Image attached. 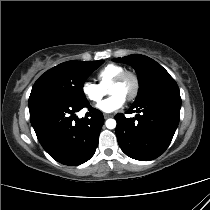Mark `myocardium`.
Listing matches in <instances>:
<instances>
[{"mask_svg":"<svg viewBox=\"0 0 210 210\" xmlns=\"http://www.w3.org/2000/svg\"><path fill=\"white\" fill-rule=\"evenodd\" d=\"M131 79L133 81V90L132 92L126 97V101L132 102L134 101L140 91V79L134 72L131 71H123L119 75H117L114 80L109 85V88L112 86H117L122 84L125 80Z\"/></svg>","mask_w":210,"mask_h":210,"instance_id":"1","label":"myocardium"}]
</instances>
